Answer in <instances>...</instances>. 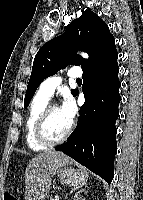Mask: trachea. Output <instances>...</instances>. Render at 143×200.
<instances>
[{
  "label": "trachea",
  "mask_w": 143,
  "mask_h": 200,
  "mask_svg": "<svg viewBox=\"0 0 143 200\" xmlns=\"http://www.w3.org/2000/svg\"><path fill=\"white\" fill-rule=\"evenodd\" d=\"M76 82H77V83H81L82 80H81V79H77Z\"/></svg>",
  "instance_id": "1"
}]
</instances>
